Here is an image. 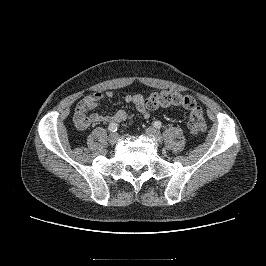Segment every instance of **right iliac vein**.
Listing matches in <instances>:
<instances>
[{
	"label": "right iliac vein",
	"instance_id": "right-iliac-vein-1",
	"mask_svg": "<svg viewBox=\"0 0 266 266\" xmlns=\"http://www.w3.org/2000/svg\"><path fill=\"white\" fill-rule=\"evenodd\" d=\"M119 140V135L117 133H112L108 137V141L111 145H115Z\"/></svg>",
	"mask_w": 266,
	"mask_h": 266
}]
</instances>
